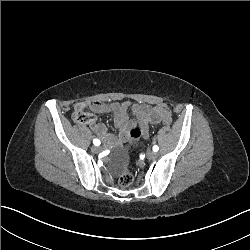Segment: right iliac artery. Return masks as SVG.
<instances>
[{
  "mask_svg": "<svg viewBox=\"0 0 250 250\" xmlns=\"http://www.w3.org/2000/svg\"><path fill=\"white\" fill-rule=\"evenodd\" d=\"M93 143H94L95 146H99L101 142H100L99 139H94Z\"/></svg>",
  "mask_w": 250,
  "mask_h": 250,
  "instance_id": "obj_1",
  "label": "right iliac artery"
}]
</instances>
